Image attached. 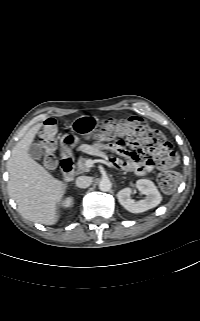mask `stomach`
<instances>
[{
    "label": "stomach",
    "instance_id": "obj_1",
    "mask_svg": "<svg viewBox=\"0 0 200 321\" xmlns=\"http://www.w3.org/2000/svg\"><path fill=\"white\" fill-rule=\"evenodd\" d=\"M98 124V120L92 116L82 115L72 121L70 127L71 129L80 134H85L92 131ZM78 137L75 135H65L63 136L61 142L66 148H73L78 143Z\"/></svg>",
    "mask_w": 200,
    "mask_h": 321
}]
</instances>
